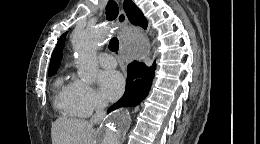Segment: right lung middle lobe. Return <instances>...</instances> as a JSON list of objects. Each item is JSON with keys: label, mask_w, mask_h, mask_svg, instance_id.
Returning <instances> with one entry per match:
<instances>
[{"label": "right lung middle lobe", "mask_w": 260, "mask_h": 144, "mask_svg": "<svg viewBox=\"0 0 260 144\" xmlns=\"http://www.w3.org/2000/svg\"><path fill=\"white\" fill-rule=\"evenodd\" d=\"M56 73V71H50L49 72V76H52V75H54Z\"/></svg>", "instance_id": "1"}]
</instances>
